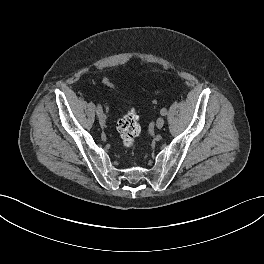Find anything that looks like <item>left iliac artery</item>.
<instances>
[{
	"instance_id": "left-iliac-artery-1",
	"label": "left iliac artery",
	"mask_w": 264,
	"mask_h": 264,
	"mask_svg": "<svg viewBox=\"0 0 264 264\" xmlns=\"http://www.w3.org/2000/svg\"><path fill=\"white\" fill-rule=\"evenodd\" d=\"M160 114L162 116H165L167 114V109L166 108H162L161 111H160Z\"/></svg>"
}]
</instances>
